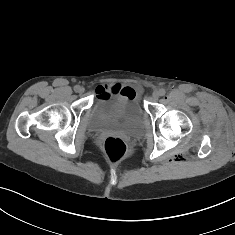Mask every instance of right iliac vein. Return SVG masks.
Instances as JSON below:
<instances>
[{
    "instance_id": "obj_1",
    "label": "right iliac vein",
    "mask_w": 235,
    "mask_h": 235,
    "mask_svg": "<svg viewBox=\"0 0 235 235\" xmlns=\"http://www.w3.org/2000/svg\"><path fill=\"white\" fill-rule=\"evenodd\" d=\"M84 91H85V89L80 86L77 92L80 93V94H82V93H84Z\"/></svg>"
}]
</instances>
